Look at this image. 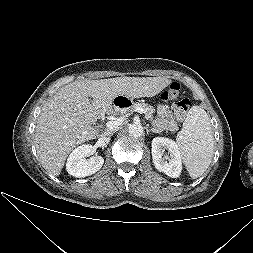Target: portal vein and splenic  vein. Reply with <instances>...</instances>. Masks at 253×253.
<instances>
[{
  "instance_id": "portal-vein-and-splenic-vein-1",
  "label": "portal vein and splenic vein",
  "mask_w": 253,
  "mask_h": 253,
  "mask_svg": "<svg viewBox=\"0 0 253 253\" xmlns=\"http://www.w3.org/2000/svg\"><path fill=\"white\" fill-rule=\"evenodd\" d=\"M135 111L138 112V113H143V109L140 108V107L136 108ZM123 121H124L123 117H118L114 120L108 121L106 123V127L110 130L114 129V128H117L118 126H120L123 123Z\"/></svg>"
}]
</instances>
